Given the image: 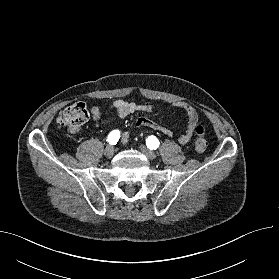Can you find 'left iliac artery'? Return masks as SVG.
I'll use <instances>...</instances> for the list:
<instances>
[{"label":"left iliac artery","instance_id":"44dca946","mask_svg":"<svg viewBox=\"0 0 279 279\" xmlns=\"http://www.w3.org/2000/svg\"><path fill=\"white\" fill-rule=\"evenodd\" d=\"M159 140L155 137V136H150L148 137V139L146 140V145L148 148L152 149H156L159 147Z\"/></svg>","mask_w":279,"mask_h":279}]
</instances>
